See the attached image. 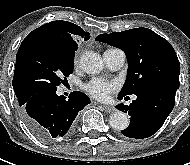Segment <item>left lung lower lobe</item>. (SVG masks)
Segmentation results:
<instances>
[{
  "label": "left lung lower lobe",
  "mask_w": 190,
  "mask_h": 165,
  "mask_svg": "<svg viewBox=\"0 0 190 165\" xmlns=\"http://www.w3.org/2000/svg\"><path fill=\"white\" fill-rule=\"evenodd\" d=\"M176 88L154 85L135 93L137 99L129 106L123 103L116 106L130 115V124L121 133L130 138L142 139L155 134L171 113L175 104ZM118 98H123L118 96Z\"/></svg>",
  "instance_id": "obj_1"
}]
</instances>
